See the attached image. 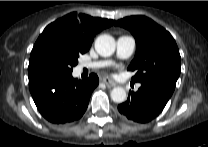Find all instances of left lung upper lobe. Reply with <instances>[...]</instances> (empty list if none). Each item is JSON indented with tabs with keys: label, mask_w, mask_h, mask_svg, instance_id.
I'll return each mask as SVG.
<instances>
[{
	"label": "left lung upper lobe",
	"mask_w": 208,
	"mask_h": 147,
	"mask_svg": "<svg viewBox=\"0 0 208 147\" xmlns=\"http://www.w3.org/2000/svg\"><path fill=\"white\" fill-rule=\"evenodd\" d=\"M115 25L128 29L136 40V54L128 70L135 82L161 81L175 88L181 71V57L171 34L145 16H130Z\"/></svg>",
	"instance_id": "left-lung-upper-lobe-1"
}]
</instances>
